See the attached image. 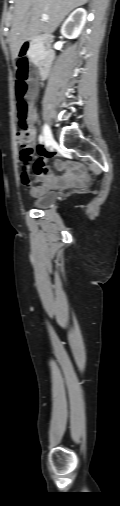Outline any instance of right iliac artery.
I'll use <instances>...</instances> for the list:
<instances>
[{"instance_id":"82829eb1","label":"right iliac artery","mask_w":120,"mask_h":506,"mask_svg":"<svg viewBox=\"0 0 120 506\" xmlns=\"http://www.w3.org/2000/svg\"><path fill=\"white\" fill-rule=\"evenodd\" d=\"M44 142V137L42 135L39 136V143L40 144H43Z\"/></svg>"}]
</instances>
